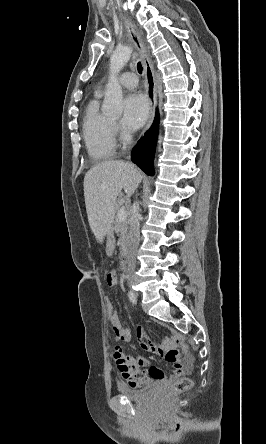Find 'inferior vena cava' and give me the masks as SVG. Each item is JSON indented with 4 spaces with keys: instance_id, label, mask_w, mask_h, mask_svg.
Masks as SVG:
<instances>
[{
    "instance_id": "602c4592",
    "label": "inferior vena cava",
    "mask_w": 266,
    "mask_h": 444,
    "mask_svg": "<svg viewBox=\"0 0 266 444\" xmlns=\"http://www.w3.org/2000/svg\"><path fill=\"white\" fill-rule=\"evenodd\" d=\"M139 204L135 202L132 207L131 217H130V230H129V240H128V270L133 271L136 266V250L140 239V213Z\"/></svg>"
}]
</instances>
